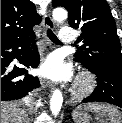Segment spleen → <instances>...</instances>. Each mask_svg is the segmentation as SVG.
<instances>
[{
  "label": "spleen",
  "mask_w": 122,
  "mask_h": 123,
  "mask_svg": "<svg viewBox=\"0 0 122 123\" xmlns=\"http://www.w3.org/2000/svg\"><path fill=\"white\" fill-rule=\"evenodd\" d=\"M87 111L95 113L100 118L101 123H122V113L109 104L89 103L79 105L73 115L86 113Z\"/></svg>",
  "instance_id": "3e777b00"
}]
</instances>
